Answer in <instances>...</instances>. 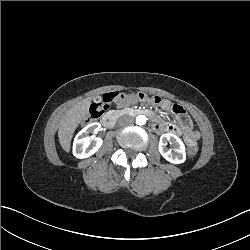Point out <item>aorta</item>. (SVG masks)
Masks as SVG:
<instances>
[{
  "mask_svg": "<svg viewBox=\"0 0 250 250\" xmlns=\"http://www.w3.org/2000/svg\"><path fill=\"white\" fill-rule=\"evenodd\" d=\"M146 123V117L144 115H138L136 117V124L144 125Z\"/></svg>",
  "mask_w": 250,
  "mask_h": 250,
  "instance_id": "aorta-1",
  "label": "aorta"
}]
</instances>
